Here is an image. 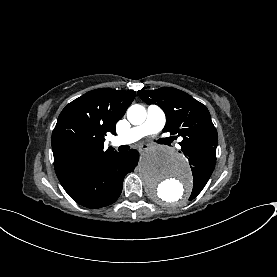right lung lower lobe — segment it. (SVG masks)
<instances>
[{
	"mask_svg": "<svg viewBox=\"0 0 277 277\" xmlns=\"http://www.w3.org/2000/svg\"><path fill=\"white\" fill-rule=\"evenodd\" d=\"M139 154L114 151L102 156L61 181L67 194L87 208H101L114 203L122 191L125 175L137 166Z\"/></svg>",
	"mask_w": 277,
	"mask_h": 277,
	"instance_id": "right-lung-lower-lobe-1",
	"label": "right lung lower lobe"
}]
</instances>
